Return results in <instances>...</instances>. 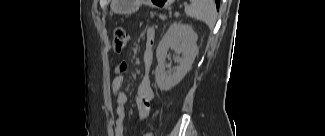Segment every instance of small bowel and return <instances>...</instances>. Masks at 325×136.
Masks as SVG:
<instances>
[{"instance_id":"obj_1","label":"small bowel","mask_w":325,"mask_h":136,"mask_svg":"<svg viewBox=\"0 0 325 136\" xmlns=\"http://www.w3.org/2000/svg\"><path fill=\"white\" fill-rule=\"evenodd\" d=\"M127 41H130L132 36L129 32L124 31ZM155 38V30L148 29L145 34L146 47L143 54V65L146 71L145 76L141 79L136 95V106L138 115L141 119H145L150 112V103L153 97L148 71L152 64L151 47ZM127 72V64L121 62L115 66L113 70V78L111 82V93L116 102V119L113 125L114 134L116 136L124 135V119H125V106L128 102V96L122 91V85L125 81Z\"/></svg>"}]
</instances>
